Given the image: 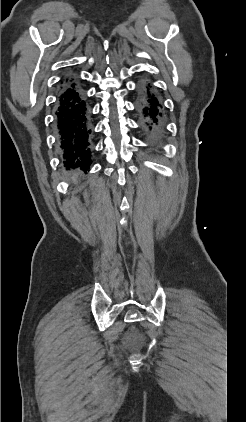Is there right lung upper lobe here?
Here are the masks:
<instances>
[{
	"label": "right lung upper lobe",
	"instance_id": "1",
	"mask_svg": "<svg viewBox=\"0 0 246 422\" xmlns=\"http://www.w3.org/2000/svg\"><path fill=\"white\" fill-rule=\"evenodd\" d=\"M71 81H73V79L69 76V77H67L63 80L62 84H65V83H68V82H71Z\"/></svg>",
	"mask_w": 246,
	"mask_h": 422
}]
</instances>
